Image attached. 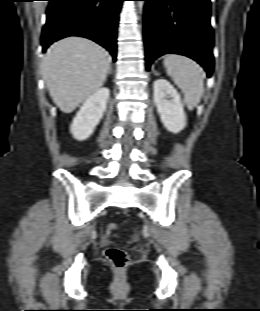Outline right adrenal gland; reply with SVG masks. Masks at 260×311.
I'll return each instance as SVG.
<instances>
[{"mask_svg":"<svg viewBox=\"0 0 260 311\" xmlns=\"http://www.w3.org/2000/svg\"><path fill=\"white\" fill-rule=\"evenodd\" d=\"M112 73V68L111 66L109 67V70H108V74H111Z\"/></svg>","mask_w":260,"mask_h":311,"instance_id":"right-adrenal-gland-1","label":"right adrenal gland"}]
</instances>
